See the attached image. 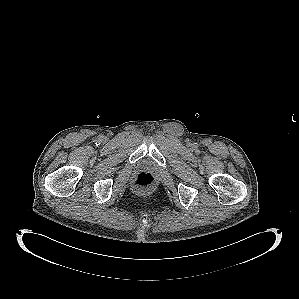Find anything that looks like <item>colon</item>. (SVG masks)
Returning <instances> with one entry per match:
<instances>
[{"label": "colon", "mask_w": 299, "mask_h": 299, "mask_svg": "<svg viewBox=\"0 0 299 299\" xmlns=\"http://www.w3.org/2000/svg\"><path fill=\"white\" fill-rule=\"evenodd\" d=\"M155 178L151 173L140 172L133 180V186L138 191H148L155 185Z\"/></svg>", "instance_id": "colon-1"}]
</instances>
